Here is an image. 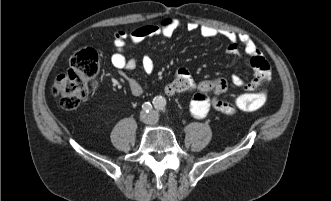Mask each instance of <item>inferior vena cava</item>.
<instances>
[{"instance_id":"1","label":"inferior vena cava","mask_w":331,"mask_h":201,"mask_svg":"<svg viewBox=\"0 0 331 201\" xmlns=\"http://www.w3.org/2000/svg\"><path fill=\"white\" fill-rule=\"evenodd\" d=\"M143 122L145 123H149V124H152V123H155L157 121V119L155 117L153 118H141Z\"/></svg>"}]
</instances>
